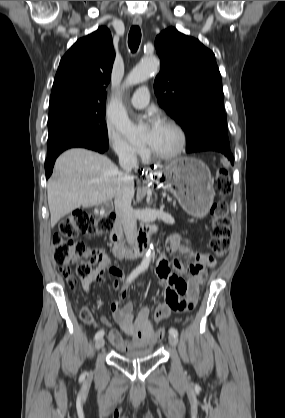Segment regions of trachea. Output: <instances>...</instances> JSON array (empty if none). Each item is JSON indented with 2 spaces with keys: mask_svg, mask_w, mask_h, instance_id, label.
I'll use <instances>...</instances> for the list:
<instances>
[{
  "mask_svg": "<svg viewBox=\"0 0 285 418\" xmlns=\"http://www.w3.org/2000/svg\"><path fill=\"white\" fill-rule=\"evenodd\" d=\"M141 41V30L138 26H133L128 35V45L132 52H135Z\"/></svg>",
  "mask_w": 285,
  "mask_h": 418,
  "instance_id": "1",
  "label": "trachea"
}]
</instances>
